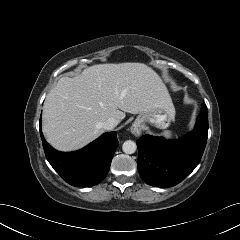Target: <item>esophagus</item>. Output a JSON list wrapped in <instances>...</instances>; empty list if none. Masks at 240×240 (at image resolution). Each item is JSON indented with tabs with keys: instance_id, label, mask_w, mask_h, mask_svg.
Listing matches in <instances>:
<instances>
[{
	"instance_id": "obj_1",
	"label": "esophagus",
	"mask_w": 240,
	"mask_h": 240,
	"mask_svg": "<svg viewBox=\"0 0 240 240\" xmlns=\"http://www.w3.org/2000/svg\"><path fill=\"white\" fill-rule=\"evenodd\" d=\"M131 132L132 134L138 136L141 134V124L140 121H135L133 125L131 126Z\"/></svg>"
}]
</instances>
